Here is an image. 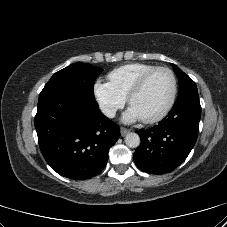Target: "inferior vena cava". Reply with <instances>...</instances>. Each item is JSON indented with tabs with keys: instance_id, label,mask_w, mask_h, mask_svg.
I'll return each mask as SVG.
<instances>
[{
	"instance_id": "602c4592",
	"label": "inferior vena cava",
	"mask_w": 227,
	"mask_h": 227,
	"mask_svg": "<svg viewBox=\"0 0 227 227\" xmlns=\"http://www.w3.org/2000/svg\"><path fill=\"white\" fill-rule=\"evenodd\" d=\"M100 109H101L102 113L104 115H106L107 117H109V118L115 117L116 109H114L108 105H105V104H101Z\"/></svg>"
}]
</instances>
